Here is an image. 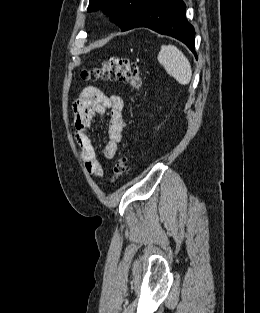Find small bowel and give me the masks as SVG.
I'll list each match as a JSON object with an SVG mask.
<instances>
[{"label": "small bowel", "instance_id": "c3829d8e", "mask_svg": "<svg viewBox=\"0 0 260 313\" xmlns=\"http://www.w3.org/2000/svg\"><path fill=\"white\" fill-rule=\"evenodd\" d=\"M72 106L75 138L82 162L90 175L101 178L104 176V168L96 157L88 131L95 117L110 109L109 142L104 148V156L106 159L112 160L116 156L118 144L121 142L126 128L124 101L119 96L105 94L96 86H86Z\"/></svg>", "mask_w": 260, "mask_h": 313}]
</instances>
